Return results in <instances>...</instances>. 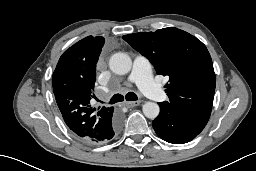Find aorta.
Returning a JSON list of instances; mask_svg holds the SVG:
<instances>
[{
	"mask_svg": "<svg viewBox=\"0 0 256 171\" xmlns=\"http://www.w3.org/2000/svg\"><path fill=\"white\" fill-rule=\"evenodd\" d=\"M110 69L118 74L125 75L130 72L132 67V61L129 55L118 52L111 56L109 60ZM160 108L157 103L146 102L143 105V113L149 119H154L159 115Z\"/></svg>",
	"mask_w": 256,
	"mask_h": 171,
	"instance_id": "762f6f07",
	"label": "aorta"
}]
</instances>
